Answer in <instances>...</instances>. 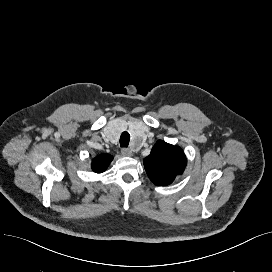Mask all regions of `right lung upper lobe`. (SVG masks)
I'll use <instances>...</instances> for the list:
<instances>
[{"label": "right lung upper lobe", "mask_w": 272, "mask_h": 272, "mask_svg": "<svg viewBox=\"0 0 272 272\" xmlns=\"http://www.w3.org/2000/svg\"><path fill=\"white\" fill-rule=\"evenodd\" d=\"M113 157L110 154H101L92 161V170L96 173L104 172L111 163Z\"/></svg>", "instance_id": "obj_1"}]
</instances>
